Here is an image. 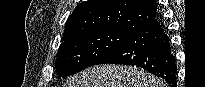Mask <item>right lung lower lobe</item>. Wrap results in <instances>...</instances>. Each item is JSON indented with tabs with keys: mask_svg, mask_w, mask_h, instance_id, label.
<instances>
[{
	"mask_svg": "<svg viewBox=\"0 0 205 87\" xmlns=\"http://www.w3.org/2000/svg\"><path fill=\"white\" fill-rule=\"evenodd\" d=\"M124 64L141 67L176 87L177 66L170 39L159 19L134 31L97 64Z\"/></svg>",
	"mask_w": 205,
	"mask_h": 87,
	"instance_id": "98d812e1",
	"label": "right lung lower lobe"
}]
</instances>
